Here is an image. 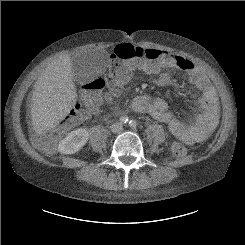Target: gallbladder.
I'll return each mask as SVG.
<instances>
[{"label": "gallbladder", "instance_id": "1", "mask_svg": "<svg viewBox=\"0 0 245 245\" xmlns=\"http://www.w3.org/2000/svg\"><path fill=\"white\" fill-rule=\"evenodd\" d=\"M73 65H74L73 66V69H74V80L78 81L80 69H79V65H78L76 60L74 61Z\"/></svg>", "mask_w": 245, "mask_h": 245}]
</instances>
